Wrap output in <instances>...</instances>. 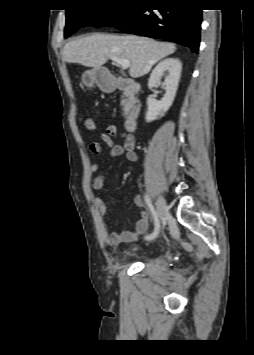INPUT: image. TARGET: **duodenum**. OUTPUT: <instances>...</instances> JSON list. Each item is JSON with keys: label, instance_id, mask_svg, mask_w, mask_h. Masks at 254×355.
<instances>
[{"label": "duodenum", "instance_id": "obj_1", "mask_svg": "<svg viewBox=\"0 0 254 355\" xmlns=\"http://www.w3.org/2000/svg\"><path fill=\"white\" fill-rule=\"evenodd\" d=\"M109 90H123L128 94V101L130 108L128 114L125 118V129L128 132H133L137 126V120L141 111V105L137 98V94L140 90V85L136 82L124 79L119 76H115L108 84L105 86Z\"/></svg>", "mask_w": 254, "mask_h": 355}]
</instances>
